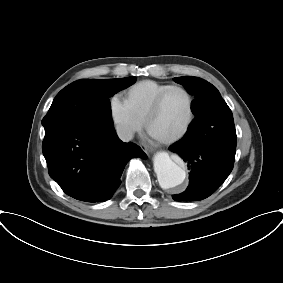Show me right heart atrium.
<instances>
[{"label": "right heart atrium", "mask_w": 283, "mask_h": 283, "mask_svg": "<svg viewBox=\"0 0 283 283\" xmlns=\"http://www.w3.org/2000/svg\"><path fill=\"white\" fill-rule=\"evenodd\" d=\"M111 121L118 136L124 140H131L142 128V123L134 116L124 99L114 95L109 101Z\"/></svg>", "instance_id": "right-heart-atrium-1"}]
</instances>
